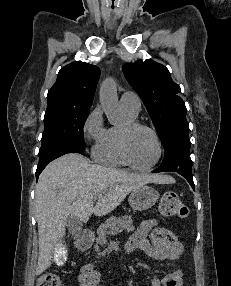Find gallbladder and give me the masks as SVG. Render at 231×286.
<instances>
[{
    "label": "gallbladder",
    "mask_w": 231,
    "mask_h": 286,
    "mask_svg": "<svg viewBox=\"0 0 231 286\" xmlns=\"http://www.w3.org/2000/svg\"><path fill=\"white\" fill-rule=\"evenodd\" d=\"M81 227H82V222H81V218L77 216V214L71 213L70 216L66 219L65 221V225L62 226L63 230H69L70 232H74L72 234H77L81 231ZM64 244L65 241H58V243H56V247H54L55 249L53 251L54 252V258H53V263H55L56 265H63L64 263H66V259L68 256V251H66V247Z\"/></svg>",
    "instance_id": "obj_1"
}]
</instances>
